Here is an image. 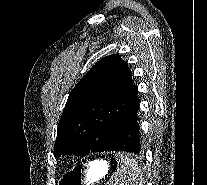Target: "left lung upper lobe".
Segmentation results:
<instances>
[{
    "mask_svg": "<svg viewBox=\"0 0 207 185\" xmlns=\"http://www.w3.org/2000/svg\"><path fill=\"white\" fill-rule=\"evenodd\" d=\"M138 89L118 54L102 58L70 93L57 128L54 155L102 152L117 121L138 101Z\"/></svg>",
    "mask_w": 207,
    "mask_h": 185,
    "instance_id": "obj_1",
    "label": "left lung upper lobe"
}]
</instances>
